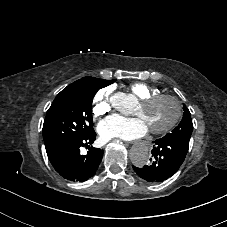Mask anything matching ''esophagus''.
I'll return each instance as SVG.
<instances>
[{
  "instance_id": "34e87169",
  "label": "esophagus",
  "mask_w": 227,
  "mask_h": 227,
  "mask_svg": "<svg viewBox=\"0 0 227 227\" xmlns=\"http://www.w3.org/2000/svg\"><path fill=\"white\" fill-rule=\"evenodd\" d=\"M152 145H153V142H152V140L149 139V138H148L147 140H145V141L142 142V146H143L144 148H146V149L151 148Z\"/></svg>"
}]
</instances>
